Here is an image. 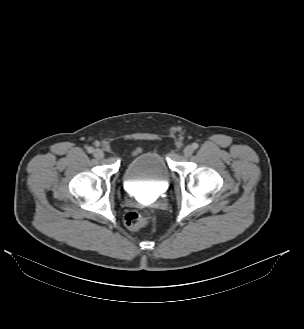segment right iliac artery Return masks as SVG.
I'll return each instance as SVG.
<instances>
[{"label":"right iliac artery","mask_w":304,"mask_h":329,"mask_svg":"<svg viewBox=\"0 0 304 329\" xmlns=\"http://www.w3.org/2000/svg\"><path fill=\"white\" fill-rule=\"evenodd\" d=\"M87 151H88V153H93L94 152V149H93V147H88L87 148Z\"/></svg>","instance_id":"82829eb1"}]
</instances>
